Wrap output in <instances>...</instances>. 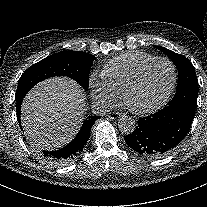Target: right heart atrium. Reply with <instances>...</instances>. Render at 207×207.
<instances>
[{
    "label": "right heart atrium",
    "mask_w": 207,
    "mask_h": 207,
    "mask_svg": "<svg viewBox=\"0 0 207 207\" xmlns=\"http://www.w3.org/2000/svg\"><path fill=\"white\" fill-rule=\"evenodd\" d=\"M88 84L95 101L104 106H112L116 103L118 96L102 76L92 73L89 77Z\"/></svg>",
    "instance_id": "right-heart-atrium-1"
}]
</instances>
